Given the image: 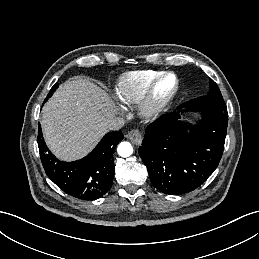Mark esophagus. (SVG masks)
Returning <instances> with one entry per match:
<instances>
[{
    "instance_id": "obj_1",
    "label": "esophagus",
    "mask_w": 259,
    "mask_h": 259,
    "mask_svg": "<svg viewBox=\"0 0 259 259\" xmlns=\"http://www.w3.org/2000/svg\"><path fill=\"white\" fill-rule=\"evenodd\" d=\"M126 136L136 145H140L142 143L143 135L137 129L131 130Z\"/></svg>"
}]
</instances>
